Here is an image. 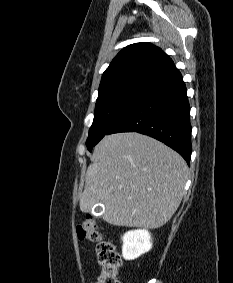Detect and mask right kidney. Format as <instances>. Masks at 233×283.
<instances>
[{"label":"right kidney","instance_id":"obj_1","mask_svg":"<svg viewBox=\"0 0 233 283\" xmlns=\"http://www.w3.org/2000/svg\"><path fill=\"white\" fill-rule=\"evenodd\" d=\"M122 241V255L125 260H134L152 248L151 235L144 229L126 232Z\"/></svg>","mask_w":233,"mask_h":283}]
</instances>
